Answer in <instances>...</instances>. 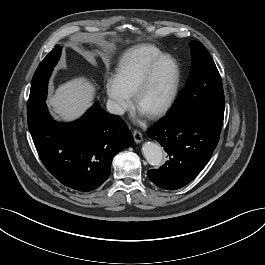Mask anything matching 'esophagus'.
Wrapping results in <instances>:
<instances>
[{
	"instance_id": "1",
	"label": "esophagus",
	"mask_w": 265,
	"mask_h": 265,
	"mask_svg": "<svg viewBox=\"0 0 265 265\" xmlns=\"http://www.w3.org/2000/svg\"><path fill=\"white\" fill-rule=\"evenodd\" d=\"M133 137L136 143H141L143 141L142 133L138 130L133 131Z\"/></svg>"
}]
</instances>
